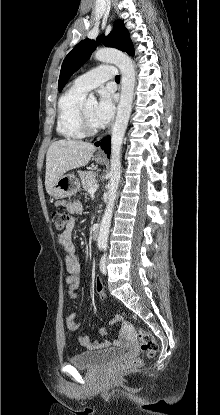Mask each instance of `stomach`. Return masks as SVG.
Segmentation results:
<instances>
[{
    "instance_id": "obj_1",
    "label": "stomach",
    "mask_w": 220,
    "mask_h": 415,
    "mask_svg": "<svg viewBox=\"0 0 220 415\" xmlns=\"http://www.w3.org/2000/svg\"><path fill=\"white\" fill-rule=\"evenodd\" d=\"M98 163H103L104 158L95 157ZM80 190V182L74 174L62 176L53 186L51 196L56 199L71 197Z\"/></svg>"
}]
</instances>
